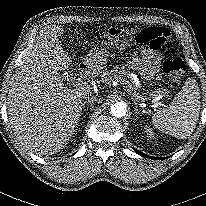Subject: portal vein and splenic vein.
Returning <instances> with one entry per match:
<instances>
[{
	"label": "portal vein and splenic vein",
	"mask_w": 206,
	"mask_h": 206,
	"mask_svg": "<svg viewBox=\"0 0 206 206\" xmlns=\"http://www.w3.org/2000/svg\"><path fill=\"white\" fill-rule=\"evenodd\" d=\"M83 84H84V82L81 81V80H78V81H75V82H74V86H75V87H81ZM123 84H125V85H127V86L129 87V82H128V81H125V82H124V80H123Z\"/></svg>",
	"instance_id": "portal-vein-and-splenic-vein-1"
}]
</instances>
